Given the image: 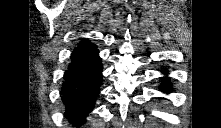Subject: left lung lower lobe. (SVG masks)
<instances>
[{"label":"left lung lower lobe","mask_w":221,"mask_h":128,"mask_svg":"<svg viewBox=\"0 0 221 128\" xmlns=\"http://www.w3.org/2000/svg\"><path fill=\"white\" fill-rule=\"evenodd\" d=\"M165 73H167V71H164ZM169 83V82H168ZM171 89V86L170 85H168V86H164L163 87V92H165V93H169V91L168 90H170Z\"/></svg>","instance_id":"0a47b994"}]
</instances>
